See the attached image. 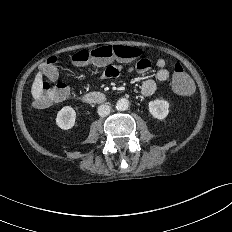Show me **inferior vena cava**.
Wrapping results in <instances>:
<instances>
[{
  "mask_svg": "<svg viewBox=\"0 0 232 232\" xmlns=\"http://www.w3.org/2000/svg\"><path fill=\"white\" fill-rule=\"evenodd\" d=\"M110 111H111V107L109 105L103 104L98 107V114L101 117H105L109 115Z\"/></svg>",
  "mask_w": 232,
  "mask_h": 232,
  "instance_id": "1",
  "label": "inferior vena cava"
}]
</instances>
